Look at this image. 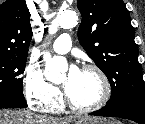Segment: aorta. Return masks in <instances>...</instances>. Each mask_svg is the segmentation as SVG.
Instances as JSON below:
<instances>
[{"mask_svg": "<svg viewBox=\"0 0 145 124\" xmlns=\"http://www.w3.org/2000/svg\"><path fill=\"white\" fill-rule=\"evenodd\" d=\"M77 21L76 14L72 12H64L56 15L49 26V33L54 34L57 32L59 26L70 27ZM45 61L44 75L48 81L59 82L62 79L63 73L68 69L67 61L64 57H51L48 52L43 54Z\"/></svg>", "mask_w": 145, "mask_h": 124, "instance_id": "762f6f07", "label": "aorta"}]
</instances>
